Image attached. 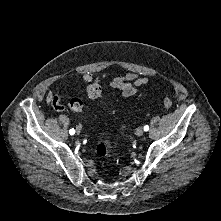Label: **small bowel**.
I'll list each match as a JSON object with an SVG mask.
<instances>
[{
	"label": "small bowel",
	"instance_id": "small-bowel-1",
	"mask_svg": "<svg viewBox=\"0 0 221 221\" xmlns=\"http://www.w3.org/2000/svg\"><path fill=\"white\" fill-rule=\"evenodd\" d=\"M80 79L84 83L98 82V79L91 72L84 73ZM148 82L149 78L147 76L132 72L127 73L125 76L112 77L109 80V86L119 90L122 97L128 98L136 95L139 92V88ZM46 102L58 112L64 110V107L61 105L60 95L54 91H50L47 94Z\"/></svg>",
	"mask_w": 221,
	"mask_h": 221
}]
</instances>
